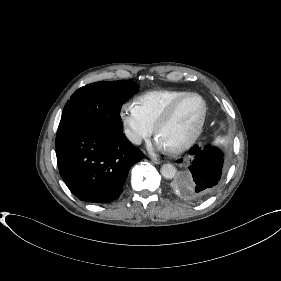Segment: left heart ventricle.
<instances>
[{"label": "left heart ventricle", "mask_w": 281, "mask_h": 281, "mask_svg": "<svg viewBox=\"0 0 281 281\" xmlns=\"http://www.w3.org/2000/svg\"><path fill=\"white\" fill-rule=\"evenodd\" d=\"M202 102L196 97L184 100L175 110L171 119L161 128L158 141L166 149L185 142L195 131L202 115Z\"/></svg>", "instance_id": "left-heart-ventricle-1"}]
</instances>
